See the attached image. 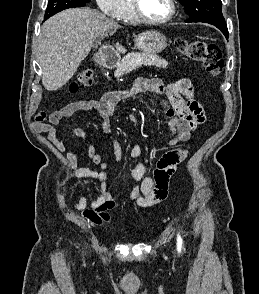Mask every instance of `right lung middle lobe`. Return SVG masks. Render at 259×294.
Masks as SVG:
<instances>
[{
	"instance_id": "dd1d6c3e",
	"label": "right lung middle lobe",
	"mask_w": 259,
	"mask_h": 294,
	"mask_svg": "<svg viewBox=\"0 0 259 294\" xmlns=\"http://www.w3.org/2000/svg\"><path fill=\"white\" fill-rule=\"evenodd\" d=\"M89 1L90 0H49L44 19H48L52 15L67 8L83 7L85 3Z\"/></svg>"
}]
</instances>
